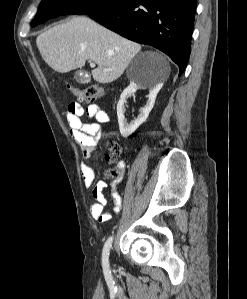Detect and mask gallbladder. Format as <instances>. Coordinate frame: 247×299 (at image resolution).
I'll use <instances>...</instances> for the list:
<instances>
[{"label":"gallbladder","mask_w":247,"mask_h":299,"mask_svg":"<svg viewBox=\"0 0 247 299\" xmlns=\"http://www.w3.org/2000/svg\"><path fill=\"white\" fill-rule=\"evenodd\" d=\"M74 78L78 83H85L90 81V76L85 71H76Z\"/></svg>","instance_id":"1"}]
</instances>
